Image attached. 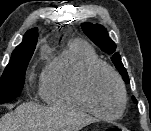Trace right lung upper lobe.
I'll return each instance as SVG.
<instances>
[{"label":"right lung upper lobe","mask_w":151,"mask_h":131,"mask_svg":"<svg viewBox=\"0 0 151 131\" xmlns=\"http://www.w3.org/2000/svg\"><path fill=\"white\" fill-rule=\"evenodd\" d=\"M37 40H38L37 28L31 29L25 33L22 43L16 48L36 44Z\"/></svg>","instance_id":"obj_1"}]
</instances>
